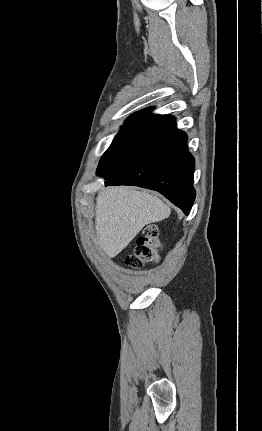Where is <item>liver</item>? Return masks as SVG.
I'll return each mask as SVG.
<instances>
[{
	"label": "liver",
	"mask_w": 262,
	"mask_h": 431,
	"mask_svg": "<svg viewBox=\"0 0 262 431\" xmlns=\"http://www.w3.org/2000/svg\"><path fill=\"white\" fill-rule=\"evenodd\" d=\"M171 209L146 191L110 187L96 199V239L103 251L113 258L150 223L168 218Z\"/></svg>",
	"instance_id": "liver-1"
}]
</instances>
